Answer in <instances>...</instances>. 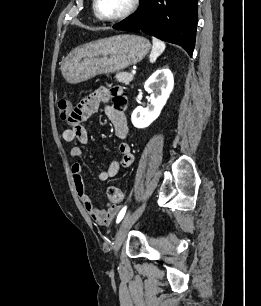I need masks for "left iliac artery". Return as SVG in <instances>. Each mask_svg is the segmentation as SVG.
Segmentation results:
<instances>
[{
	"label": "left iliac artery",
	"instance_id": "obj_1",
	"mask_svg": "<svg viewBox=\"0 0 261 306\" xmlns=\"http://www.w3.org/2000/svg\"><path fill=\"white\" fill-rule=\"evenodd\" d=\"M126 209H127V206L123 207L122 210L119 212L117 219H116V223H119L123 219L126 213Z\"/></svg>",
	"mask_w": 261,
	"mask_h": 306
}]
</instances>
